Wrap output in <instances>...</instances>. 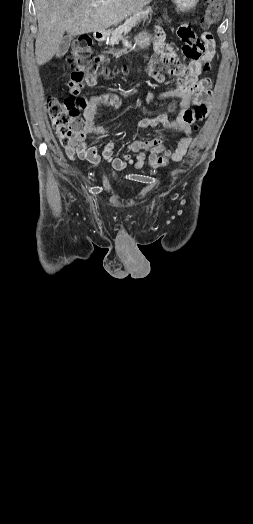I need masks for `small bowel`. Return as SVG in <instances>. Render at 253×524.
<instances>
[{
    "instance_id": "1",
    "label": "small bowel",
    "mask_w": 253,
    "mask_h": 524,
    "mask_svg": "<svg viewBox=\"0 0 253 524\" xmlns=\"http://www.w3.org/2000/svg\"><path fill=\"white\" fill-rule=\"evenodd\" d=\"M176 38L179 44H182L181 56L184 57L185 62H190V64H178L179 58L176 56V50L166 43L165 34L158 28L154 42L156 53L148 63L146 74L156 85L164 81L165 73L176 76V88L162 91L159 96L161 98H176L178 103H173L169 107L168 112L161 113L155 117L142 118L138 125L141 129L161 125L166 129L184 133L185 137L178 142L176 147V151L182 157L189 146L188 135L190 133V125L193 122L190 108L192 105L204 104L211 96V82L208 78L202 76V72L208 69L216 46L212 43L214 37L208 29H205L203 34L199 35L198 31L192 29L190 24H181L176 31ZM154 97L155 94L150 92L145 96L144 100L148 103ZM122 104V99L115 94L104 93L91 97L84 112V128L78 133L76 141L66 148L67 156L70 159L79 157L91 164H98L102 158L114 169L121 170L128 165L139 169L143 166L148 154L157 155L163 152L165 145L162 138L148 141L134 140L129 143L121 158L113 156L115 149L113 141H108L104 145L101 156L98 155L95 147L87 144L86 140L95 136H98L101 141L107 138L108 128L96 123V117L100 108L104 105L120 108ZM177 106L180 108L178 115L174 120H171L169 114L174 112ZM132 154L136 155V159H133Z\"/></svg>"
}]
</instances>
